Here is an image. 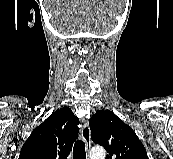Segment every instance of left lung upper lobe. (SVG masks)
Listing matches in <instances>:
<instances>
[{"mask_svg":"<svg viewBox=\"0 0 173 159\" xmlns=\"http://www.w3.org/2000/svg\"><path fill=\"white\" fill-rule=\"evenodd\" d=\"M89 125L92 141L108 152L106 159H149L133 129L112 111H97Z\"/></svg>","mask_w":173,"mask_h":159,"instance_id":"left-lung-upper-lobe-1","label":"left lung upper lobe"}]
</instances>
